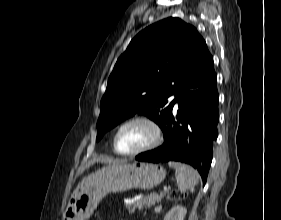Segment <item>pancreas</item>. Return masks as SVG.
<instances>
[{"label": "pancreas", "instance_id": "cf45deb5", "mask_svg": "<svg viewBox=\"0 0 281 220\" xmlns=\"http://www.w3.org/2000/svg\"><path fill=\"white\" fill-rule=\"evenodd\" d=\"M166 195V192L151 193L146 196H142L132 203H125L126 208L129 212H134L136 209L142 210L144 207L154 206L156 203H159Z\"/></svg>", "mask_w": 281, "mask_h": 220}]
</instances>
